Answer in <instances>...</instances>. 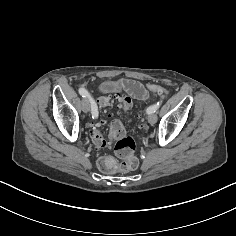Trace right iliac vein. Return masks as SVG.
I'll return each instance as SVG.
<instances>
[{
	"label": "right iliac vein",
	"instance_id": "63e3f726",
	"mask_svg": "<svg viewBox=\"0 0 236 236\" xmlns=\"http://www.w3.org/2000/svg\"><path fill=\"white\" fill-rule=\"evenodd\" d=\"M80 106H81L82 111L85 112V113H87V112L90 110V102H89V99L83 98V99L81 100Z\"/></svg>",
	"mask_w": 236,
	"mask_h": 236
}]
</instances>
